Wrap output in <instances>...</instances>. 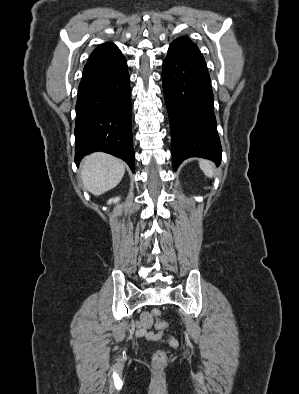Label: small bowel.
<instances>
[{"mask_svg": "<svg viewBox=\"0 0 299 394\" xmlns=\"http://www.w3.org/2000/svg\"><path fill=\"white\" fill-rule=\"evenodd\" d=\"M152 325H153L152 316L148 312H144L141 315L139 321V327L136 331V336L138 338H142L150 342L158 341L162 337L163 331L157 326V324H156L157 331L156 332L153 331L151 329Z\"/></svg>", "mask_w": 299, "mask_h": 394, "instance_id": "obj_1", "label": "small bowel"}]
</instances>
